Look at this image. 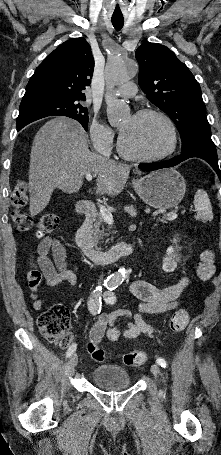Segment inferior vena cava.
I'll use <instances>...</instances> for the list:
<instances>
[{"instance_id":"602c4592","label":"inferior vena cava","mask_w":221,"mask_h":455,"mask_svg":"<svg viewBox=\"0 0 221 455\" xmlns=\"http://www.w3.org/2000/svg\"><path fill=\"white\" fill-rule=\"evenodd\" d=\"M102 279H103V274L100 276V280H99V283H100V281H101Z\"/></svg>"}]
</instances>
